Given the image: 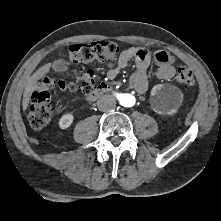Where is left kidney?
I'll list each match as a JSON object with an SVG mask.
<instances>
[{"mask_svg": "<svg viewBox=\"0 0 221 221\" xmlns=\"http://www.w3.org/2000/svg\"><path fill=\"white\" fill-rule=\"evenodd\" d=\"M152 107L160 115H173L177 112L183 101V94L179 88L158 84L152 88Z\"/></svg>", "mask_w": 221, "mask_h": 221, "instance_id": "left-kidney-1", "label": "left kidney"}]
</instances>
